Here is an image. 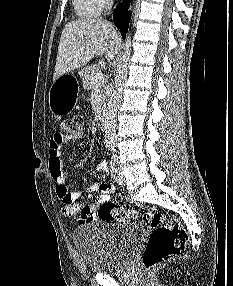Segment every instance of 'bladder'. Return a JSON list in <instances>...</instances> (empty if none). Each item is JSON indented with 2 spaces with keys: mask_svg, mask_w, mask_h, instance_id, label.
<instances>
[{
  "mask_svg": "<svg viewBox=\"0 0 233 286\" xmlns=\"http://www.w3.org/2000/svg\"><path fill=\"white\" fill-rule=\"evenodd\" d=\"M145 231L140 222H93L77 227L74 241L90 272L108 273L126 267Z\"/></svg>",
  "mask_w": 233,
  "mask_h": 286,
  "instance_id": "31cf9c89",
  "label": "bladder"
}]
</instances>
